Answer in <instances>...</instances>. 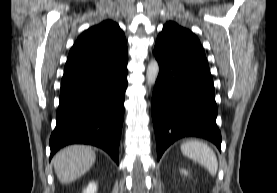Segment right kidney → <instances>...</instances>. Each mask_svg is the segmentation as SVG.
<instances>
[{"instance_id": "right-kidney-1", "label": "right kidney", "mask_w": 277, "mask_h": 193, "mask_svg": "<svg viewBox=\"0 0 277 193\" xmlns=\"http://www.w3.org/2000/svg\"><path fill=\"white\" fill-rule=\"evenodd\" d=\"M97 185L95 182H90L86 189L83 190V193H96Z\"/></svg>"}]
</instances>
